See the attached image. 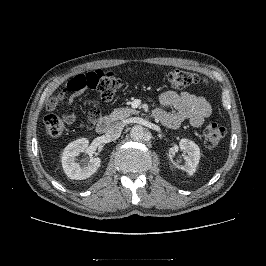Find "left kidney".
I'll use <instances>...</instances> for the list:
<instances>
[{
    "label": "left kidney",
    "mask_w": 266,
    "mask_h": 266,
    "mask_svg": "<svg viewBox=\"0 0 266 266\" xmlns=\"http://www.w3.org/2000/svg\"><path fill=\"white\" fill-rule=\"evenodd\" d=\"M179 146L186 154L184 156L185 163L184 165H180L178 163H173V164L175 165L176 168L187 172L189 175H193L199 164L200 149L197 144H195L193 141L186 139V138H183L180 140ZM173 151H174L173 148L169 150L170 157Z\"/></svg>",
    "instance_id": "1"
}]
</instances>
